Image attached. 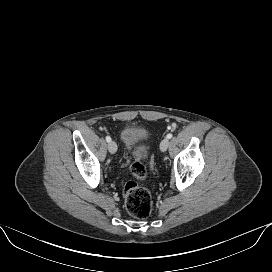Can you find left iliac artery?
Returning <instances> with one entry per match:
<instances>
[{
  "label": "left iliac artery",
  "instance_id": "left-iliac-artery-1",
  "mask_svg": "<svg viewBox=\"0 0 272 272\" xmlns=\"http://www.w3.org/2000/svg\"><path fill=\"white\" fill-rule=\"evenodd\" d=\"M172 137H173V135L171 133H169V134L166 135L167 139H171Z\"/></svg>",
  "mask_w": 272,
  "mask_h": 272
}]
</instances>
